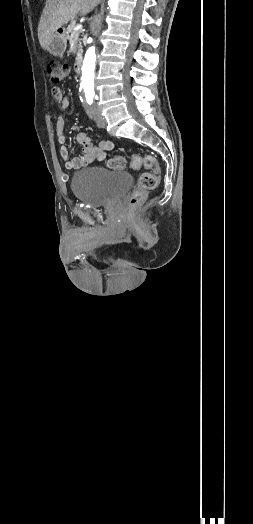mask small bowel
Listing matches in <instances>:
<instances>
[{"instance_id": "c3829d8e", "label": "small bowel", "mask_w": 253, "mask_h": 524, "mask_svg": "<svg viewBox=\"0 0 253 524\" xmlns=\"http://www.w3.org/2000/svg\"><path fill=\"white\" fill-rule=\"evenodd\" d=\"M52 95L58 102L59 106L63 109L69 107V99L63 95L62 90L59 87L52 89ZM65 119L59 116L56 120V136L57 141L61 145V157L65 161L68 169H79L87 167L94 161L103 160L106 156V152L111 150L114 144L111 141H101L98 144H94L86 133H78L77 141L82 147V154L76 157H70L68 149L66 147L67 137L64 133Z\"/></svg>"}]
</instances>
